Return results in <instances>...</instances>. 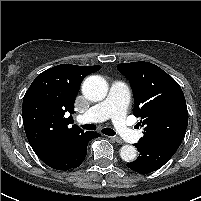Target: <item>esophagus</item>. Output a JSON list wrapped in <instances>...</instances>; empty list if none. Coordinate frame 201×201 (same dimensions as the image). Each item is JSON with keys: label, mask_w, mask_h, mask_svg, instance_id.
Masks as SVG:
<instances>
[{"label": "esophagus", "mask_w": 201, "mask_h": 201, "mask_svg": "<svg viewBox=\"0 0 201 201\" xmlns=\"http://www.w3.org/2000/svg\"><path fill=\"white\" fill-rule=\"evenodd\" d=\"M110 139H111L112 141H114V142H117V143H122V142H123L121 138L115 137V136L110 137Z\"/></svg>", "instance_id": "34e87169"}]
</instances>
